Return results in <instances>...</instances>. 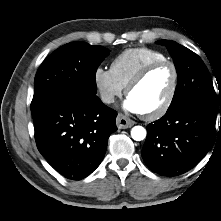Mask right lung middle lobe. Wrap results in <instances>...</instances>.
Here are the masks:
<instances>
[{"mask_svg": "<svg viewBox=\"0 0 221 221\" xmlns=\"http://www.w3.org/2000/svg\"><path fill=\"white\" fill-rule=\"evenodd\" d=\"M109 50L86 42L68 43L55 50L40 66L34 80L32 116L64 93L96 96L95 74Z\"/></svg>", "mask_w": 221, "mask_h": 221, "instance_id": "dd1d6c3e", "label": "right lung middle lobe"}]
</instances>
